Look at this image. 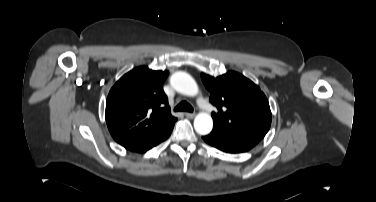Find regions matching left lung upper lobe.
Wrapping results in <instances>:
<instances>
[{
	"instance_id": "obj_1",
	"label": "left lung upper lobe",
	"mask_w": 376,
	"mask_h": 202,
	"mask_svg": "<svg viewBox=\"0 0 376 202\" xmlns=\"http://www.w3.org/2000/svg\"><path fill=\"white\" fill-rule=\"evenodd\" d=\"M210 91L214 125L262 140L271 125V111L260 88L243 75L229 71L217 78L201 74Z\"/></svg>"
}]
</instances>
